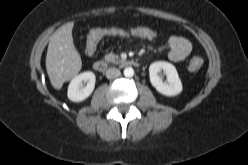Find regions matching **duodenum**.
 <instances>
[{"instance_id": "410a0bca", "label": "duodenum", "mask_w": 248, "mask_h": 165, "mask_svg": "<svg viewBox=\"0 0 248 165\" xmlns=\"http://www.w3.org/2000/svg\"><path fill=\"white\" fill-rule=\"evenodd\" d=\"M124 64L127 66H131V67H138L139 66V62L136 60L126 61V62H124ZM93 68L95 69V71H97L99 73H104L108 68V63L105 60H97L94 62Z\"/></svg>"}]
</instances>
